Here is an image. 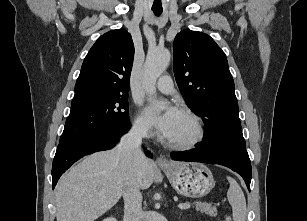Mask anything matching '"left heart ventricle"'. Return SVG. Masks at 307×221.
<instances>
[{"mask_svg": "<svg viewBox=\"0 0 307 221\" xmlns=\"http://www.w3.org/2000/svg\"><path fill=\"white\" fill-rule=\"evenodd\" d=\"M194 132L195 127L193 122L190 118L182 114L175 128V131L169 140L174 142L183 141L192 137Z\"/></svg>", "mask_w": 307, "mask_h": 221, "instance_id": "1", "label": "left heart ventricle"}]
</instances>
